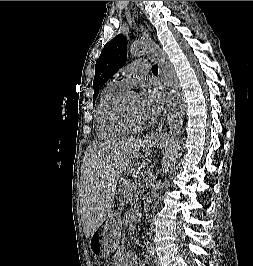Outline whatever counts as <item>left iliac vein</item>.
<instances>
[{"mask_svg":"<svg viewBox=\"0 0 253 266\" xmlns=\"http://www.w3.org/2000/svg\"><path fill=\"white\" fill-rule=\"evenodd\" d=\"M155 265L156 266H161L160 265V260H159V258L157 256L155 257Z\"/></svg>","mask_w":253,"mask_h":266,"instance_id":"1","label":"left iliac vein"}]
</instances>
